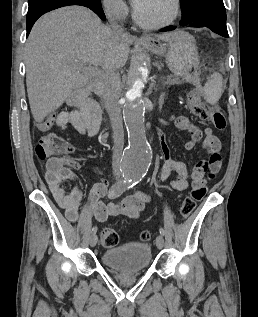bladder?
Masks as SVG:
<instances>
[{
    "label": "bladder",
    "instance_id": "31cf9c89",
    "mask_svg": "<svg viewBox=\"0 0 258 317\" xmlns=\"http://www.w3.org/2000/svg\"><path fill=\"white\" fill-rule=\"evenodd\" d=\"M151 247L146 242H130L106 250L103 263L115 270L136 272L145 270L151 261Z\"/></svg>",
    "mask_w": 258,
    "mask_h": 317
}]
</instances>
